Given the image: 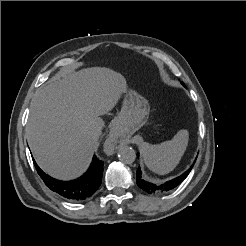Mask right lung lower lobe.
<instances>
[{
  "label": "right lung lower lobe",
  "mask_w": 246,
  "mask_h": 246,
  "mask_svg": "<svg viewBox=\"0 0 246 246\" xmlns=\"http://www.w3.org/2000/svg\"><path fill=\"white\" fill-rule=\"evenodd\" d=\"M33 162L46 186L62 198L72 202H80L91 197L102 182L104 162L95 155L87 172L80 178L72 181L56 180L45 174L34 160Z\"/></svg>",
  "instance_id": "right-lung-lower-lobe-1"
}]
</instances>
